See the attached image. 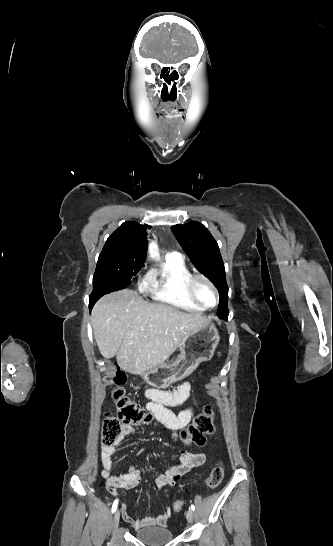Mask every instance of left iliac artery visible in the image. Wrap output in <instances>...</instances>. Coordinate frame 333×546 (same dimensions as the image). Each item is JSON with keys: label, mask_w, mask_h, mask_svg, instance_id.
<instances>
[{"label": "left iliac artery", "mask_w": 333, "mask_h": 546, "mask_svg": "<svg viewBox=\"0 0 333 546\" xmlns=\"http://www.w3.org/2000/svg\"><path fill=\"white\" fill-rule=\"evenodd\" d=\"M193 511L195 510V506L193 504H191V507H190Z\"/></svg>", "instance_id": "44dca946"}]
</instances>
